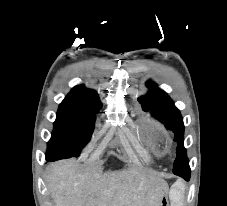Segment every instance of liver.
<instances>
[{
	"label": "liver",
	"mask_w": 227,
	"mask_h": 206,
	"mask_svg": "<svg viewBox=\"0 0 227 206\" xmlns=\"http://www.w3.org/2000/svg\"><path fill=\"white\" fill-rule=\"evenodd\" d=\"M47 173L55 206H161L169 190L155 173L125 169L82 174L73 160L53 164Z\"/></svg>",
	"instance_id": "liver-1"
}]
</instances>
